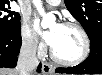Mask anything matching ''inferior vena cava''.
<instances>
[{
    "instance_id": "obj_1",
    "label": "inferior vena cava",
    "mask_w": 102,
    "mask_h": 75,
    "mask_svg": "<svg viewBox=\"0 0 102 75\" xmlns=\"http://www.w3.org/2000/svg\"><path fill=\"white\" fill-rule=\"evenodd\" d=\"M37 42L32 38L23 41L17 62V70L20 75H32L39 61L36 57Z\"/></svg>"
}]
</instances>
